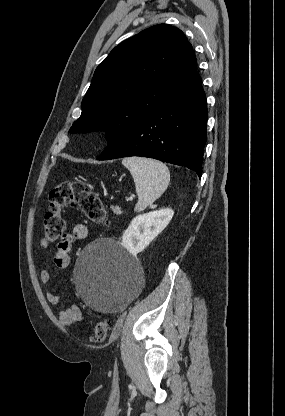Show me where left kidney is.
Listing matches in <instances>:
<instances>
[{
    "label": "left kidney",
    "mask_w": 285,
    "mask_h": 416,
    "mask_svg": "<svg viewBox=\"0 0 285 416\" xmlns=\"http://www.w3.org/2000/svg\"><path fill=\"white\" fill-rule=\"evenodd\" d=\"M173 216L174 212L171 208H162L136 216L122 236L124 248L134 256L143 252L150 242L165 230Z\"/></svg>",
    "instance_id": "5707ae66"
}]
</instances>
